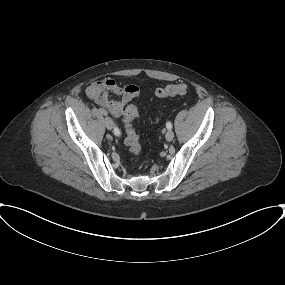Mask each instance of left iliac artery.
I'll list each match as a JSON object with an SVG mask.
<instances>
[{
	"mask_svg": "<svg viewBox=\"0 0 285 285\" xmlns=\"http://www.w3.org/2000/svg\"><path fill=\"white\" fill-rule=\"evenodd\" d=\"M166 127H167L168 130L172 129V123L170 121H168L166 123Z\"/></svg>",
	"mask_w": 285,
	"mask_h": 285,
	"instance_id": "left-iliac-artery-1",
	"label": "left iliac artery"
}]
</instances>
